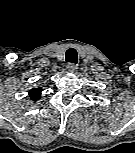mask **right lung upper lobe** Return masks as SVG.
<instances>
[{"label":"right lung upper lobe","mask_w":135,"mask_h":153,"mask_svg":"<svg viewBox=\"0 0 135 153\" xmlns=\"http://www.w3.org/2000/svg\"><path fill=\"white\" fill-rule=\"evenodd\" d=\"M41 91H42L41 88H33L29 91V96L31 97V99L36 101L40 98Z\"/></svg>","instance_id":"obj_1"}]
</instances>
